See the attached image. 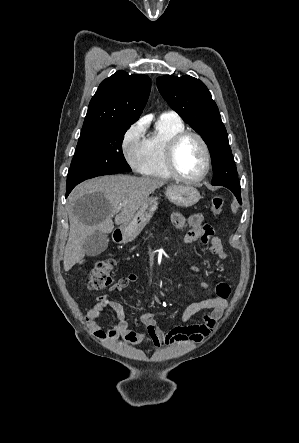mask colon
Wrapping results in <instances>:
<instances>
[{
  "label": "colon",
  "instance_id": "colon-1",
  "mask_svg": "<svg viewBox=\"0 0 299 443\" xmlns=\"http://www.w3.org/2000/svg\"><path fill=\"white\" fill-rule=\"evenodd\" d=\"M224 200L215 196L211 200V211L214 215L222 213ZM116 264L114 258H105L98 261L93 268L87 272V286L91 290H99L107 287L112 282L111 273Z\"/></svg>",
  "mask_w": 299,
  "mask_h": 443
}]
</instances>
